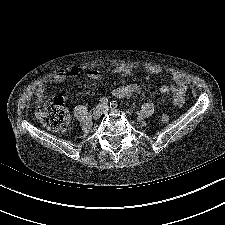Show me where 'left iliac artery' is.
<instances>
[{"label":"left iliac artery","mask_w":225,"mask_h":225,"mask_svg":"<svg viewBox=\"0 0 225 225\" xmlns=\"http://www.w3.org/2000/svg\"><path fill=\"white\" fill-rule=\"evenodd\" d=\"M117 106H118L117 101H112V102H110V107H111V108H116Z\"/></svg>","instance_id":"obj_1"}]
</instances>
